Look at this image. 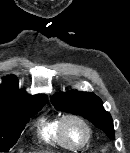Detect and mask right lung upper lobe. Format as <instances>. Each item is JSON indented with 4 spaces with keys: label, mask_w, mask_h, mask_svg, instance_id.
<instances>
[{
    "label": "right lung upper lobe",
    "mask_w": 130,
    "mask_h": 153,
    "mask_svg": "<svg viewBox=\"0 0 130 153\" xmlns=\"http://www.w3.org/2000/svg\"><path fill=\"white\" fill-rule=\"evenodd\" d=\"M0 85V111H18L29 105L46 102V95L31 96L19 90L18 80L14 75L3 78Z\"/></svg>",
    "instance_id": "right-lung-upper-lobe-1"
}]
</instances>
